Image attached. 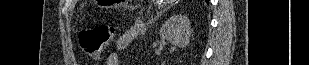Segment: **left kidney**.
<instances>
[{
	"label": "left kidney",
	"mask_w": 309,
	"mask_h": 65,
	"mask_svg": "<svg viewBox=\"0 0 309 65\" xmlns=\"http://www.w3.org/2000/svg\"><path fill=\"white\" fill-rule=\"evenodd\" d=\"M187 16L174 15L167 19L160 28V37L172 45L186 47L190 42L191 26Z\"/></svg>",
	"instance_id": "5707ae66"
}]
</instances>
